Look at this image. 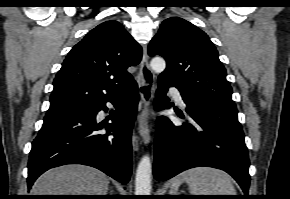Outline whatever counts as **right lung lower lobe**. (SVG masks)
Returning <instances> with one entry per match:
<instances>
[{
    "label": "right lung lower lobe",
    "mask_w": 290,
    "mask_h": 199,
    "mask_svg": "<svg viewBox=\"0 0 290 199\" xmlns=\"http://www.w3.org/2000/svg\"><path fill=\"white\" fill-rule=\"evenodd\" d=\"M138 99L134 82L123 93L108 100L117 107L112 123L96 121L97 113L107 110L108 101L45 117L29 155L28 188L46 170L65 164L89 165L126 184L132 171L131 133ZM102 129L107 132L100 133Z\"/></svg>",
    "instance_id": "right-lung-lower-lobe-1"
}]
</instances>
